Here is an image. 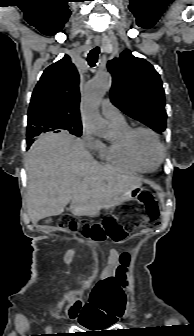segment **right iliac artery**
<instances>
[{
	"instance_id": "82829eb1",
	"label": "right iliac artery",
	"mask_w": 194,
	"mask_h": 336,
	"mask_svg": "<svg viewBox=\"0 0 194 336\" xmlns=\"http://www.w3.org/2000/svg\"><path fill=\"white\" fill-rule=\"evenodd\" d=\"M46 331H47V332H50V331H51V327L48 326V327L46 328Z\"/></svg>"
}]
</instances>
